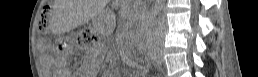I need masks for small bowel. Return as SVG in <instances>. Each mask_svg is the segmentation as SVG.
Masks as SVG:
<instances>
[{
	"label": "small bowel",
	"instance_id": "obj_1",
	"mask_svg": "<svg viewBox=\"0 0 258 77\" xmlns=\"http://www.w3.org/2000/svg\"><path fill=\"white\" fill-rule=\"evenodd\" d=\"M39 46L42 51L46 52L49 49V42L47 40H41ZM45 60L51 63L58 70L65 68V61L62 58L45 56Z\"/></svg>",
	"mask_w": 258,
	"mask_h": 77
}]
</instances>
